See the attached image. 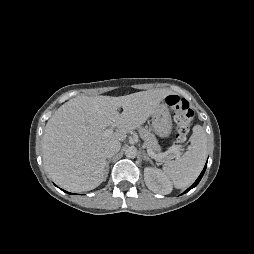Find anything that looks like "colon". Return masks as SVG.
Returning <instances> with one entry per match:
<instances>
[{
    "mask_svg": "<svg viewBox=\"0 0 254 254\" xmlns=\"http://www.w3.org/2000/svg\"><path fill=\"white\" fill-rule=\"evenodd\" d=\"M167 104L174 113L176 139L178 142L185 141L194 118V112L187 100L177 95H169Z\"/></svg>",
    "mask_w": 254,
    "mask_h": 254,
    "instance_id": "1",
    "label": "colon"
}]
</instances>
